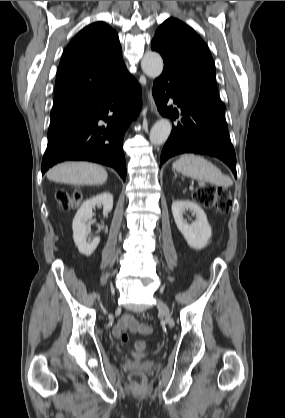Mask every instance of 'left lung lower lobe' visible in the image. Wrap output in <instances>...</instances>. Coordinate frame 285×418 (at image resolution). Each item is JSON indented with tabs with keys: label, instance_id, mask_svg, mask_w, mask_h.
<instances>
[{
	"label": "left lung lower lobe",
	"instance_id": "obj_1",
	"mask_svg": "<svg viewBox=\"0 0 285 418\" xmlns=\"http://www.w3.org/2000/svg\"><path fill=\"white\" fill-rule=\"evenodd\" d=\"M153 97L162 116L175 120L178 106L183 118L173 124L160 157V166L182 153L207 154L225 162L236 177V156L225 121V105L219 94L164 63L162 75L154 81Z\"/></svg>",
	"mask_w": 285,
	"mask_h": 418
}]
</instances>
